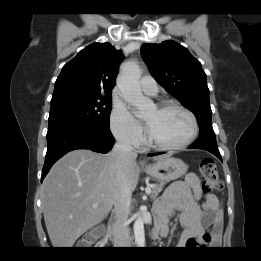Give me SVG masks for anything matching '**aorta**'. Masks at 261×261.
Returning a JSON list of instances; mask_svg holds the SVG:
<instances>
[{"label":"aorta","mask_w":261,"mask_h":261,"mask_svg":"<svg viewBox=\"0 0 261 261\" xmlns=\"http://www.w3.org/2000/svg\"><path fill=\"white\" fill-rule=\"evenodd\" d=\"M141 70L136 62H127L122 65L118 85L123 99L136 108V116L144 114L153 105L152 101L142 94L139 78ZM135 242L138 247L145 246V232L142 218L138 217L133 225Z\"/></svg>","instance_id":"aorta-1"}]
</instances>
